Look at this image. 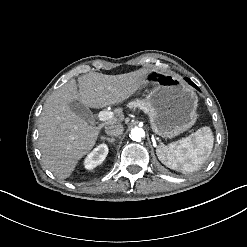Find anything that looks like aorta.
Wrapping results in <instances>:
<instances>
[{"label":"aorta","mask_w":247,"mask_h":247,"mask_svg":"<svg viewBox=\"0 0 247 247\" xmlns=\"http://www.w3.org/2000/svg\"><path fill=\"white\" fill-rule=\"evenodd\" d=\"M145 136V131L142 128L134 127L131 130L130 138L134 141H140Z\"/></svg>","instance_id":"762f6f07"}]
</instances>
